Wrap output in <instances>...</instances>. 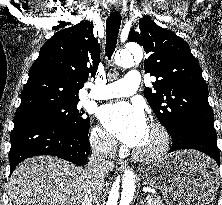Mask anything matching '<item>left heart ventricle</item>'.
<instances>
[{
	"label": "left heart ventricle",
	"mask_w": 222,
	"mask_h": 205,
	"mask_svg": "<svg viewBox=\"0 0 222 205\" xmlns=\"http://www.w3.org/2000/svg\"><path fill=\"white\" fill-rule=\"evenodd\" d=\"M160 142L158 133L148 126L146 134L136 149L143 152H150L154 150Z\"/></svg>",
	"instance_id": "left-heart-ventricle-1"
}]
</instances>
